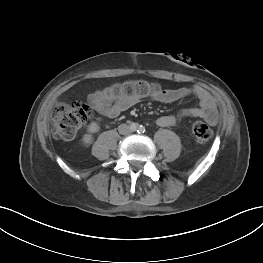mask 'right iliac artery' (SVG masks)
Listing matches in <instances>:
<instances>
[{
	"instance_id": "82829eb1",
	"label": "right iliac artery",
	"mask_w": 263,
	"mask_h": 263,
	"mask_svg": "<svg viewBox=\"0 0 263 263\" xmlns=\"http://www.w3.org/2000/svg\"><path fill=\"white\" fill-rule=\"evenodd\" d=\"M130 129H131L132 131H136V130L138 129V125H137L136 123H132V124L130 125Z\"/></svg>"
}]
</instances>
